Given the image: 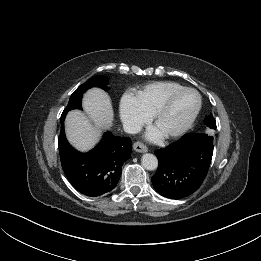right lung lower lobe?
Listing matches in <instances>:
<instances>
[{
  "label": "right lung lower lobe",
  "mask_w": 261,
  "mask_h": 261,
  "mask_svg": "<svg viewBox=\"0 0 261 261\" xmlns=\"http://www.w3.org/2000/svg\"><path fill=\"white\" fill-rule=\"evenodd\" d=\"M63 122L58 147L61 165L70 183L80 193L90 197L112 191L120 179L123 163L131 157L130 138L106 132L93 150L80 153L67 142Z\"/></svg>",
  "instance_id": "right-lung-lower-lobe-1"
}]
</instances>
